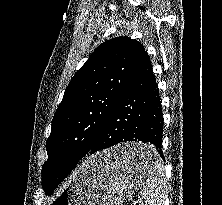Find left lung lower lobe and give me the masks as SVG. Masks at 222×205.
Returning <instances> with one entry per match:
<instances>
[{
  "label": "left lung lower lobe",
  "instance_id": "0a47b994",
  "mask_svg": "<svg viewBox=\"0 0 222 205\" xmlns=\"http://www.w3.org/2000/svg\"><path fill=\"white\" fill-rule=\"evenodd\" d=\"M162 133L163 115L159 90L150 59L144 51L87 154H94L126 141H142L152 145L154 151H158L164 159ZM84 156L71 152L60 156L56 162V169L61 172V178L56 187ZM153 159V153L137 150L129 153L124 160L135 166H145L151 165Z\"/></svg>",
  "mask_w": 222,
  "mask_h": 205
}]
</instances>
